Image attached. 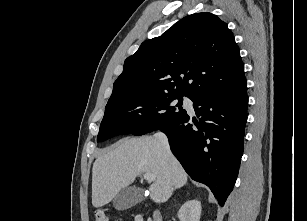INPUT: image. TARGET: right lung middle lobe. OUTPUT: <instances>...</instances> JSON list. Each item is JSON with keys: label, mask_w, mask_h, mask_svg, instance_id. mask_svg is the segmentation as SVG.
<instances>
[{"label": "right lung middle lobe", "mask_w": 307, "mask_h": 221, "mask_svg": "<svg viewBox=\"0 0 307 221\" xmlns=\"http://www.w3.org/2000/svg\"><path fill=\"white\" fill-rule=\"evenodd\" d=\"M186 114L181 96L165 93L127 96L106 105L97 142L121 134L150 133L181 120Z\"/></svg>", "instance_id": "1"}]
</instances>
